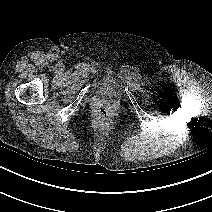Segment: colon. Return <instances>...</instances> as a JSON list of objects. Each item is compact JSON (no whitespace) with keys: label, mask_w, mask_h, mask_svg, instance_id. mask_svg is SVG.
Segmentation results:
<instances>
[{"label":"colon","mask_w":212,"mask_h":212,"mask_svg":"<svg viewBox=\"0 0 212 212\" xmlns=\"http://www.w3.org/2000/svg\"><path fill=\"white\" fill-rule=\"evenodd\" d=\"M97 116L101 121H109L112 118V111L105 106H102L97 111Z\"/></svg>","instance_id":"obj_1"}]
</instances>
